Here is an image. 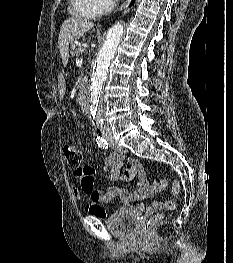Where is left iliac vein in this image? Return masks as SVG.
I'll use <instances>...</instances> for the list:
<instances>
[{"mask_svg": "<svg viewBox=\"0 0 233 263\" xmlns=\"http://www.w3.org/2000/svg\"><path fill=\"white\" fill-rule=\"evenodd\" d=\"M106 139L108 140L111 148H113L115 151L119 152V153H125L127 150L120 146L112 136H107Z\"/></svg>", "mask_w": 233, "mask_h": 263, "instance_id": "obj_1", "label": "left iliac vein"}]
</instances>
